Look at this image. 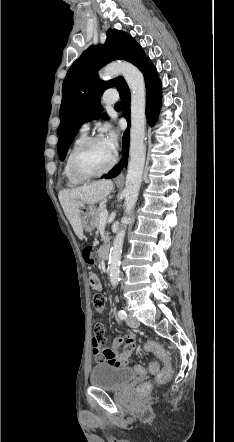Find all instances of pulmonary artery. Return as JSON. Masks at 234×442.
Masks as SVG:
<instances>
[{
    "instance_id": "pulmonary-artery-1",
    "label": "pulmonary artery",
    "mask_w": 234,
    "mask_h": 442,
    "mask_svg": "<svg viewBox=\"0 0 234 442\" xmlns=\"http://www.w3.org/2000/svg\"><path fill=\"white\" fill-rule=\"evenodd\" d=\"M118 97L115 93H106L103 96V103L105 104H113L117 101ZM90 129V122L86 121L84 122L81 127H80V131L83 133H87Z\"/></svg>"
}]
</instances>
